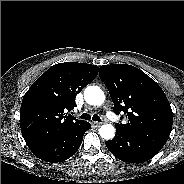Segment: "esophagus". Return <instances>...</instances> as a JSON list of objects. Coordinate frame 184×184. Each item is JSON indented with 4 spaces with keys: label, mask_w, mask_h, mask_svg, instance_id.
Returning <instances> with one entry per match:
<instances>
[{
    "label": "esophagus",
    "mask_w": 184,
    "mask_h": 184,
    "mask_svg": "<svg viewBox=\"0 0 184 184\" xmlns=\"http://www.w3.org/2000/svg\"><path fill=\"white\" fill-rule=\"evenodd\" d=\"M92 124H93L94 126H96V127H99V126H101V125H102V123H101V122H92Z\"/></svg>",
    "instance_id": "34e87169"
}]
</instances>
